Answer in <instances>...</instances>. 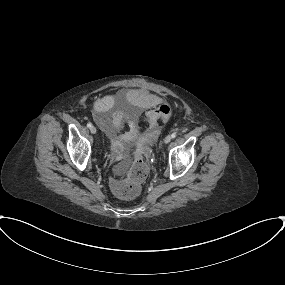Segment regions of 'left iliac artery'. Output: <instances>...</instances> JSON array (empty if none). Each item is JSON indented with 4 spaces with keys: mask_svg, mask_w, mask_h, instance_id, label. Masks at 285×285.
Wrapping results in <instances>:
<instances>
[{
    "mask_svg": "<svg viewBox=\"0 0 285 285\" xmlns=\"http://www.w3.org/2000/svg\"><path fill=\"white\" fill-rule=\"evenodd\" d=\"M176 136H177V134L175 132L172 133V135H171L172 138H175Z\"/></svg>",
    "mask_w": 285,
    "mask_h": 285,
    "instance_id": "left-iliac-artery-1",
    "label": "left iliac artery"
}]
</instances>
